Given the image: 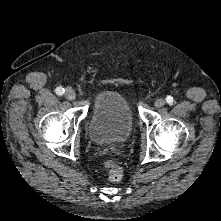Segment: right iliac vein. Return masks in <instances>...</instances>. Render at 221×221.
I'll return each mask as SVG.
<instances>
[{
  "label": "right iliac vein",
  "mask_w": 221,
  "mask_h": 221,
  "mask_svg": "<svg viewBox=\"0 0 221 221\" xmlns=\"http://www.w3.org/2000/svg\"><path fill=\"white\" fill-rule=\"evenodd\" d=\"M65 97L68 99V100H74L76 98V93L74 92V90L68 88L66 89L65 91Z\"/></svg>",
  "instance_id": "right-iliac-vein-1"
}]
</instances>
